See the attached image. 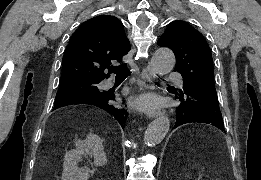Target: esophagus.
<instances>
[{"label":"esophagus","instance_id":"esophagus-1","mask_svg":"<svg viewBox=\"0 0 261 180\" xmlns=\"http://www.w3.org/2000/svg\"><path fill=\"white\" fill-rule=\"evenodd\" d=\"M142 77L146 82H154L156 80V74L150 65H146L142 70ZM164 110L162 108H149L146 110V115L149 118H155L162 115Z\"/></svg>","mask_w":261,"mask_h":180}]
</instances>
